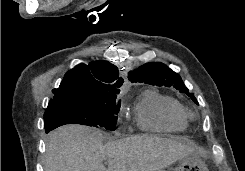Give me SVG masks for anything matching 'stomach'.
<instances>
[{
    "instance_id": "1",
    "label": "stomach",
    "mask_w": 245,
    "mask_h": 171,
    "mask_svg": "<svg viewBox=\"0 0 245 171\" xmlns=\"http://www.w3.org/2000/svg\"><path fill=\"white\" fill-rule=\"evenodd\" d=\"M175 171H209V169L205 159H203L199 153L195 152L182 158Z\"/></svg>"
}]
</instances>
